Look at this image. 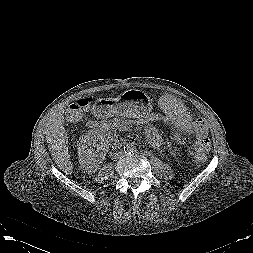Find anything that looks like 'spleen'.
<instances>
[{"label":"spleen","mask_w":253,"mask_h":253,"mask_svg":"<svg viewBox=\"0 0 253 253\" xmlns=\"http://www.w3.org/2000/svg\"><path fill=\"white\" fill-rule=\"evenodd\" d=\"M158 116L180 147V158L189 166H200L207 159V148L201 142L203 126L186 101L177 94L162 95L156 104Z\"/></svg>","instance_id":"3e777b00"}]
</instances>
